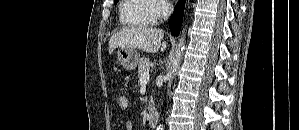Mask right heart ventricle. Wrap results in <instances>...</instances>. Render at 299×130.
<instances>
[{"mask_svg": "<svg viewBox=\"0 0 299 130\" xmlns=\"http://www.w3.org/2000/svg\"><path fill=\"white\" fill-rule=\"evenodd\" d=\"M157 21L153 0H124L120 7V22L127 27H148Z\"/></svg>", "mask_w": 299, "mask_h": 130, "instance_id": "e07e8e85", "label": "right heart ventricle"}]
</instances>
